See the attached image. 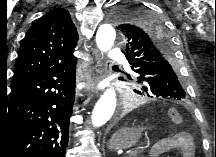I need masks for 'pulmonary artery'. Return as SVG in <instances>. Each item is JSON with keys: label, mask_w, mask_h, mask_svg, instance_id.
<instances>
[{"label": "pulmonary artery", "mask_w": 216, "mask_h": 157, "mask_svg": "<svg viewBox=\"0 0 216 157\" xmlns=\"http://www.w3.org/2000/svg\"><path fill=\"white\" fill-rule=\"evenodd\" d=\"M108 56L110 59H113V60H119L123 58V54L117 50H111ZM124 66H126V64H124Z\"/></svg>", "instance_id": "pulmonary-artery-1"}]
</instances>
